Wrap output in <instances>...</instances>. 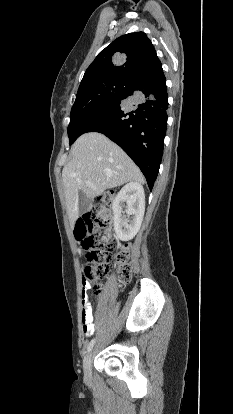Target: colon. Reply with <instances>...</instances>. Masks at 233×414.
Returning a JSON list of instances; mask_svg holds the SVG:
<instances>
[{
  "instance_id": "obj_1",
  "label": "colon",
  "mask_w": 233,
  "mask_h": 414,
  "mask_svg": "<svg viewBox=\"0 0 233 414\" xmlns=\"http://www.w3.org/2000/svg\"><path fill=\"white\" fill-rule=\"evenodd\" d=\"M112 193L106 192L98 198L94 209L81 217L75 228L77 240L87 250L86 277L89 284L106 276L116 252V258L121 263L118 278L122 284L131 280L132 270L127 263L129 248L127 244H116L110 231L112 215L109 209Z\"/></svg>"
}]
</instances>
